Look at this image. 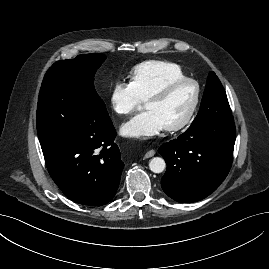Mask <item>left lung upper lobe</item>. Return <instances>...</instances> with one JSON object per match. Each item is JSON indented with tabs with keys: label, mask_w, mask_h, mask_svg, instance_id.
Segmentation results:
<instances>
[{
	"label": "left lung upper lobe",
	"mask_w": 269,
	"mask_h": 269,
	"mask_svg": "<svg viewBox=\"0 0 269 269\" xmlns=\"http://www.w3.org/2000/svg\"><path fill=\"white\" fill-rule=\"evenodd\" d=\"M228 116H231V109L226 92L220 80L212 71L208 75L200 109L192 124Z\"/></svg>",
	"instance_id": "5c2ea615"
}]
</instances>
